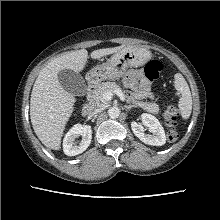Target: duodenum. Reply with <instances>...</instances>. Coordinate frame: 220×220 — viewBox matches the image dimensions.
<instances>
[{
    "instance_id": "410a0bca",
    "label": "duodenum",
    "mask_w": 220,
    "mask_h": 220,
    "mask_svg": "<svg viewBox=\"0 0 220 220\" xmlns=\"http://www.w3.org/2000/svg\"><path fill=\"white\" fill-rule=\"evenodd\" d=\"M95 85L90 83L87 87V102L84 107V115L89 116L92 114L96 107V94H95Z\"/></svg>"
}]
</instances>
